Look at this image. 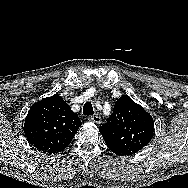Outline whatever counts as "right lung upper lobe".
<instances>
[{
    "mask_svg": "<svg viewBox=\"0 0 188 188\" xmlns=\"http://www.w3.org/2000/svg\"><path fill=\"white\" fill-rule=\"evenodd\" d=\"M80 126L78 115L61 96L55 94L30 108L24 133L34 147L44 153L55 154L69 145Z\"/></svg>",
    "mask_w": 188,
    "mask_h": 188,
    "instance_id": "1",
    "label": "right lung upper lobe"
}]
</instances>
